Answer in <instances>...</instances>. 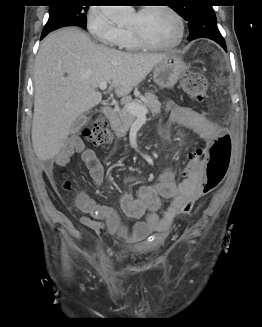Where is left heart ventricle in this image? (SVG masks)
<instances>
[{
  "label": "left heart ventricle",
  "mask_w": 262,
  "mask_h": 327,
  "mask_svg": "<svg viewBox=\"0 0 262 327\" xmlns=\"http://www.w3.org/2000/svg\"><path fill=\"white\" fill-rule=\"evenodd\" d=\"M128 28H134L147 39L158 44L173 42L178 35L176 20L167 11L150 9L130 16Z\"/></svg>",
  "instance_id": "left-heart-ventricle-1"
}]
</instances>
